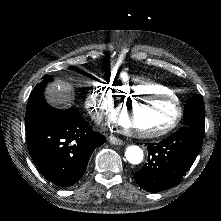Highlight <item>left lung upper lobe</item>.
<instances>
[{
  "label": "left lung upper lobe",
  "mask_w": 221,
  "mask_h": 221,
  "mask_svg": "<svg viewBox=\"0 0 221 221\" xmlns=\"http://www.w3.org/2000/svg\"><path fill=\"white\" fill-rule=\"evenodd\" d=\"M204 111L205 107L202 95L197 94L192 97L184 107L185 126L204 132Z\"/></svg>",
  "instance_id": "5c2ea615"
}]
</instances>
